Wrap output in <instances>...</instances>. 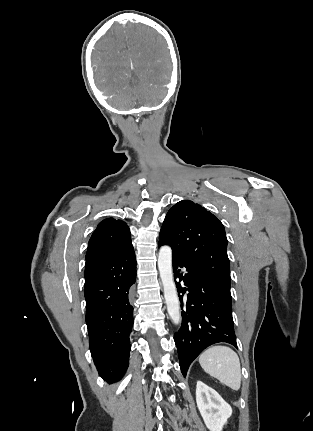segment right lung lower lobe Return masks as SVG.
<instances>
[{
  "label": "right lung lower lobe",
  "instance_id": "obj_1",
  "mask_svg": "<svg viewBox=\"0 0 313 431\" xmlns=\"http://www.w3.org/2000/svg\"><path fill=\"white\" fill-rule=\"evenodd\" d=\"M86 324L89 346L99 375L113 383L128 367L133 326L131 286L136 278L132 244L85 264Z\"/></svg>",
  "mask_w": 313,
  "mask_h": 431
}]
</instances>
